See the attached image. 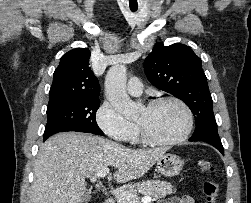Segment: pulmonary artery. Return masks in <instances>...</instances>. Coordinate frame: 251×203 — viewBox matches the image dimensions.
<instances>
[{"label":"pulmonary artery","mask_w":251,"mask_h":203,"mask_svg":"<svg viewBox=\"0 0 251 203\" xmlns=\"http://www.w3.org/2000/svg\"><path fill=\"white\" fill-rule=\"evenodd\" d=\"M127 90L131 95H141L143 91V84L141 80L137 77H132L131 79H129L127 84Z\"/></svg>","instance_id":"pulmonary-artery-1"}]
</instances>
